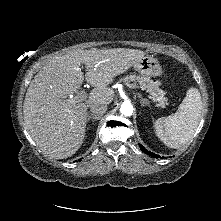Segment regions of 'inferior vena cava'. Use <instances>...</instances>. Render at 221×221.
Here are the masks:
<instances>
[{"label":"inferior vena cava","mask_w":221,"mask_h":221,"mask_svg":"<svg viewBox=\"0 0 221 221\" xmlns=\"http://www.w3.org/2000/svg\"><path fill=\"white\" fill-rule=\"evenodd\" d=\"M90 111L95 116H102L107 111V103L102 101H97L92 103L90 106Z\"/></svg>","instance_id":"obj_1"}]
</instances>
